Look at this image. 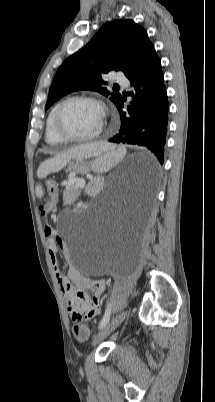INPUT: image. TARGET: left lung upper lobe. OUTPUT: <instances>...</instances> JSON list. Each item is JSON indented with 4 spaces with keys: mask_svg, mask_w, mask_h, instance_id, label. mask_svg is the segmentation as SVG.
Returning <instances> with one entry per match:
<instances>
[{
    "mask_svg": "<svg viewBox=\"0 0 215 402\" xmlns=\"http://www.w3.org/2000/svg\"><path fill=\"white\" fill-rule=\"evenodd\" d=\"M158 57L146 30L129 19L105 23L90 42L68 57L57 70L45 110L61 97L78 90L97 91L117 105L122 96L105 87L104 74L115 70L128 78Z\"/></svg>",
    "mask_w": 215,
    "mask_h": 402,
    "instance_id": "1",
    "label": "left lung upper lobe"
}]
</instances>
